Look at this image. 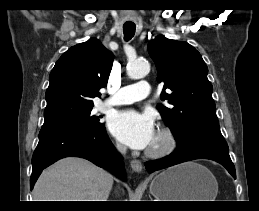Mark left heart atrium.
<instances>
[{
  "label": "left heart atrium",
  "instance_id": "39dd6f15",
  "mask_svg": "<svg viewBox=\"0 0 259 211\" xmlns=\"http://www.w3.org/2000/svg\"><path fill=\"white\" fill-rule=\"evenodd\" d=\"M108 127L113 136L133 149L150 147L156 136L151 116L134 110H123L112 114Z\"/></svg>",
  "mask_w": 259,
  "mask_h": 211
}]
</instances>
